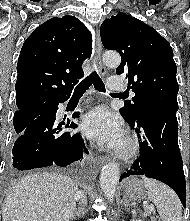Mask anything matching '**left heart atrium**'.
Listing matches in <instances>:
<instances>
[{
  "mask_svg": "<svg viewBox=\"0 0 190 221\" xmlns=\"http://www.w3.org/2000/svg\"><path fill=\"white\" fill-rule=\"evenodd\" d=\"M81 129L87 137L109 148H118L124 140L122 120L104 106L86 113L81 121Z\"/></svg>",
  "mask_w": 190,
  "mask_h": 221,
  "instance_id": "obj_1",
  "label": "left heart atrium"
}]
</instances>
